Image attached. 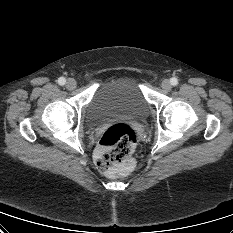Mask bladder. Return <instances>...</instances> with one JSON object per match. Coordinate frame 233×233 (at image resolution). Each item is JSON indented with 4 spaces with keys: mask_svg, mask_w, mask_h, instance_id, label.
<instances>
[{
    "mask_svg": "<svg viewBox=\"0 0 233 233\" xmlns=\"http://www.w3.org/2000/svg\"><path fill=\"white\" fill-rule=\"evenodd\" d=\"M149 110L141 77L130 73L99 83L86 106L85 119L90 126L117 117L141 120Z\"/></svg>",
    "mask_w": 233,
    "mask_h": 233,
    "instance_id": "1",
    "label": "bladder"
}]
</instances>
